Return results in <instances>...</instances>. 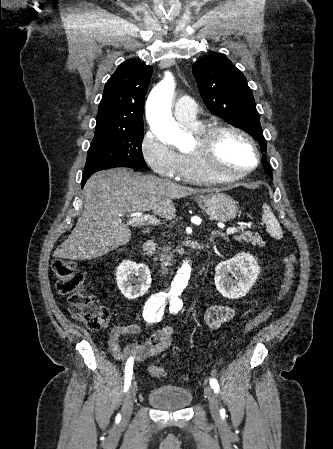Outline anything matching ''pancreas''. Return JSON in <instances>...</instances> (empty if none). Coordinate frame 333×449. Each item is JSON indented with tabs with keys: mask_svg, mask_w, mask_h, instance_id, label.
I'll return each mask as SVG.
<instances>
[{
	"mask_svg": "<svg viewBox=\"0 0 333 449\" xmlns=\"http://www.w3.org/2000/svg\"><path fill=\"white\" fill-rule=\"evenodd\" d=\"M235 239L239 242L245 241L247 243H251L253 246H264L262 238L257 233H253L250 231H245L239 235H236Z\"/></svg>",
	"mask_w": 333,
	"mask_h": 449,
	"instance_id": "1",
	"label": "pancreas"
}]
</instances>
